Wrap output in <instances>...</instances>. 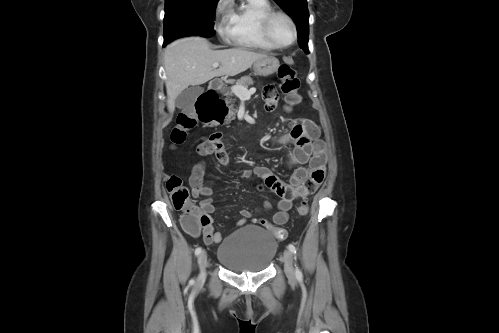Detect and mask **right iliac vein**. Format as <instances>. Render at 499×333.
Returning <instances> with one entry per match:
<instances>
[{
    "label": "right iliac vein",
    "instance_id": "obj_1",
    "mask_svg": "<svg viewBox=\"0 0 499 333\" xmlns=\"http://www.w3.org/2000/svg\"><path fill=\"white\" fill-rule=\"evenodd\" d=\"M207 253L202 251L198 257V265L200 269V280H204L206 276Z\"/></svg>",
    "mask_w": 499,
    "mask_h": 333
}]
</instances>
